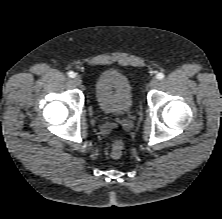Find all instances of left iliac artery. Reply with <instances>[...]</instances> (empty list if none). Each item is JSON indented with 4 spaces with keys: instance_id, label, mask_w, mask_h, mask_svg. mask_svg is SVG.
Wrapping results in <instances>:
<instances>
[{
    "instance_id": "left-iliac-artery-1",
    "label": "left iliac artery",
    "mask_w": 222,
    "mask_h": 219,
    "mask_svg": "<svg viewBox=\"0 0 222 219\" xmlns=\"http://www.w3.org/2000/svg\"><path fill=\"white\" fill-rule=\"evenodd\" d=\"M156 78H157V79H163V78H164V74H163V73H158V74L156 75Z\"/></svg>"
}]
</instances>
